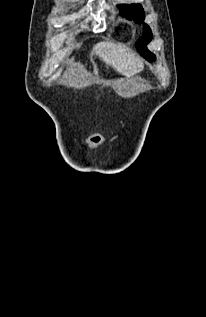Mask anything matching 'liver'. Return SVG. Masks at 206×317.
<instances>
[{
  "label": "liver",
  "instance_id": "6515ba94",
  "mask_svg": "<svg viewBox=\"0 0 206 317\" xmlns=\"http://www.w3.org/2000/svg\"><path fill=\"white\" fill-rule=\"evenodd\" d=\"M111 66L118 73L127 77L133 76L143 70V63L129 49L112 42H99L91 52Z\"/></svg>",
  "mask_w": 206,
  "mask_h": 317
}]
</instances>
